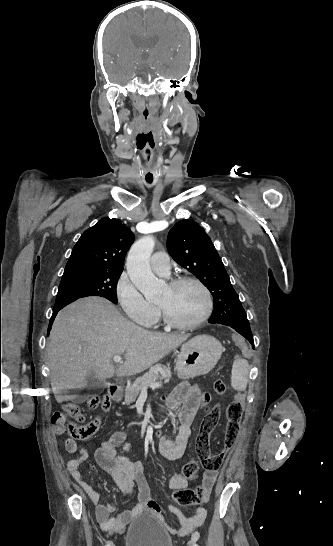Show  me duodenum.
Returning a JSON list of instances; mask_svg holds the SVG:
<instances>
[{
  "mask_svg": "<svg viewBox=\"0 0 333 546\" xmlns=\"http://www.w3.org/2000/svg\"><path fill=\"white\" fill-rule=\"evenodd\" d=\"M108 396L112 400H118L120 396V388L118 385L110 384L108 386Z\"/></svg>",
  "mask_w": 333,
  "mask_h": 546,
  "instance_id": "410a0bca",
  "label": "duodenum"
}]
</instances>
